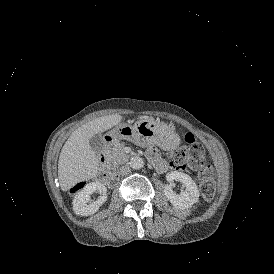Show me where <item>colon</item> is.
I'll return each mask as SVG.
<instances>
[{"label": "colon", "instance_id": "1", "mask_svg": "<svg viewBox=\"0 0 274 274\" xmlns=\"http://www.w3.org/2000/svg\"><path fill=\"white\" fill-rule=\"evenodd\" d=\"M169 156L176 169L185 168L186 166L197 169L202 197L206 200H211L214 197L216 192L214 170L211 165L205 162V150L200 142L194 140L191 143H186L185 146L171 152ZM86 188V180H73L70 191L74 192Z\"/></svg>", "mask_w": 274, "mask_h": 274}]
</instances>
